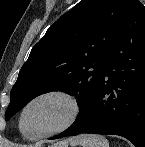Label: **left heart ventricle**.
Wrapping results in <instances>:
<instances>
[{"instance_id": "left-heart-ventricle-1", "label": "left heart ventricle", "mask_w": 145, "mask_h": 147, "mask_svg": "<svg viewBox=\"0 0 145 147\" xmlns=\"http://www.w3.org/2000/svg\"><path fill=\"white\" fill-rule=\"evenodd\" d=\"M68 104L58 98L37 102L26 113L24 127L27 132L39 133L60 126L69 116Z\"/></svg>"}]
</instances>
